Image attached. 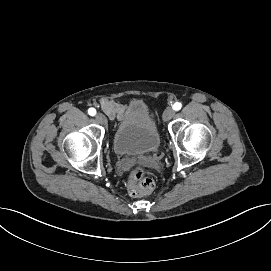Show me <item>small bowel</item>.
Returning <instances> with one entry per match:
<instances>
[{
    "label": "small bowel",
    "instance_id": "1",
    "mask_svg": "<svg viewBox=\"0 0 271 271\" xmlns=\"http://www.w3.org/2000/svg\"><path fill=\"white\" fill-rule=\"evenodd\" d=\"M100 107L104 113L112 120L122 119L127 110L126 104L118 103L106 98L100 100Z\"/></svg>",
    "mask_w": 271,
    "mask_h": 271
}]
</instances>
